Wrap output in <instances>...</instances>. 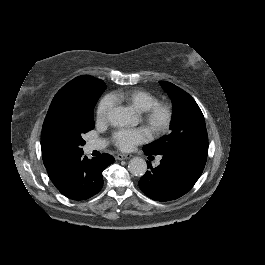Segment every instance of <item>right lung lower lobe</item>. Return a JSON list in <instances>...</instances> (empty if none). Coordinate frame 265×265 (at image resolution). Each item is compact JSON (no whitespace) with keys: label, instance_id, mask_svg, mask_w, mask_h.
Instances as JSON below:
<instances>
[{"label":"right lung lower lobe","instance_id":"1","mask_svg":"<svg viewBox=\"0 0 265 265\" xmlns=\"http://www.w3.org/2000/svg\"><path fill=\"white\" fill-rule=\"evenodd\" d=\"M82 155L48 172L54 186L73 200L88 199L97 194L103 186L102 171L114 162V157L106 153L91 160Z\"/></svg>","mask_w":265,"mask_h":265}]
</instances>
